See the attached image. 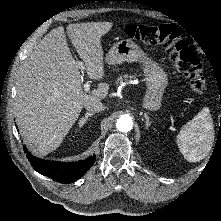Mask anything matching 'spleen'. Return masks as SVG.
Returning <instances> with one entry per match:
<instances>
[{
  "label": "spleen",
  "instance_id": "3e777b00",
  "mask_svg": "<svg viewBox=\"0 0 221 221\" xmlns=\"http://www.w3.org/2000/svg\"><path fill=\"white\" fill-rule=\"evenodd\" d=\"M215 139L213 120L208 107H204L177 135V145L184 158L198 162L212 149Z\"/></svg>",
  "mask_w": 221,
  "mask_h": 221
}]
</instances>
